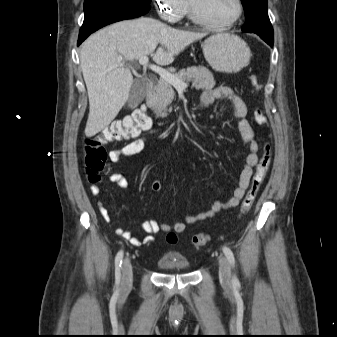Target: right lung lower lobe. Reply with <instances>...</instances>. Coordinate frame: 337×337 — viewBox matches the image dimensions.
Segmentation results:
<instances>
[{
    "mask_svg": "<svg viewBox=\"0 0 337 337\" xmlns=\"http://www.w3.org/2000/svg\"><path fill=\"white\" fill-rule=\"evenodd\" d=\"M150 6H136L119 1H106L91 6L85 12L77 45L91 33L113 22L132 19L146 14Z\"/></svg>",
    "mask_w": 337,
    "mask_h": 337,
    "instance_id": "obj_1",
    "label": "right lung lower lobe"
}]
</instances>
